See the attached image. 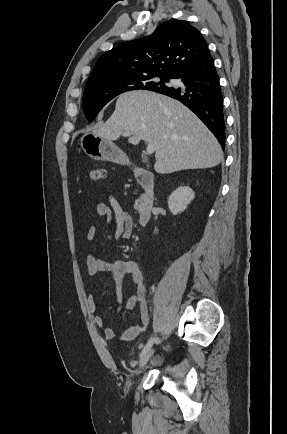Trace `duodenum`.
Returning a JSON list of instances; mask_svg holds the SVG:
<instances>
[{
	"instance_id": "obj_1",
	"label": "duodenum",
	"mask_w": 287,
	"mask_h": 434,
	"mask_svg": "<svg viewBox=\"0 0 287 434\" xmlns=\"http://www.w3.org/2000/svg\"><path fill=\"white\" fill-rule=\"evenodd\" d=\"M134 174L144 190L137 202L138 223L140 226H146L151 219L155 182L153 176L143 168H137Z\"/></svg>"
}]
</instances>
